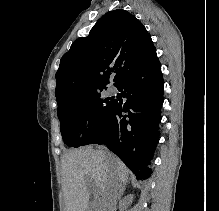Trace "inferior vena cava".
<instances>
[{
	"label": "inferior vena cava",
	"mask_w": 219,
	"mask_h": 211,
	"mask_svg": "<svg viewBox=\"0 0 219 211\" xmlns=\"http://www.w3.org/2000/svg\"><path fill=\"white\" fill-rule=\"evenodd\" d=\"M120 193H122L121 183H108L107 197H104V202H102V207L98 211H111V207H115L117 199L120 198Z\"/></svg>",
	"instance_id": "602c4592"
}]
</instances>
